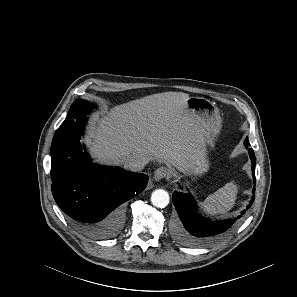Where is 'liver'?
Segmentation results:
<instances>
[{
    "label": "liver",
    "instance_id": "6515ba94",
    "mask_svg": "<svg viewBox=\"0 0 297 297\" xmlns=\"http://www.w3.org/2000/svg\"><path fill=\"white\" fill-rule=\"evenodd\" d=\"M188 99L186 93L164 92L111 108L93 122L88 150L99 162L123 164L128 156L142 154L185 170L205 142Z\"/></svg>",
    "mask_w": 297,
    "mask_h": 297
}]
</instances>
